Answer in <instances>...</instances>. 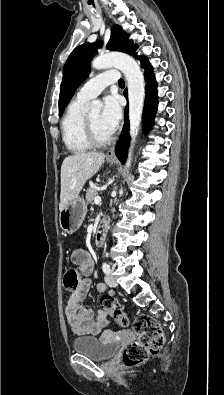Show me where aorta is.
I'll list each match as a JSON object with an SVG mask.
<instances>
[{
	"instance_id": "aorta-1",
	"label": "aorta",
	"mask_w": 224,
	"mask_h": 395,
	"mask_svg": "<svg viewBox=\"0 0 224 395\" xmlns=\"http://www.w3.org/2000/svg\"><path fill=\"white\" fill-rule=\"evenodd\" d=\"M92 68L101 70L115 67L124 74L128 87L129 100V122L131 144L128 152V158L125 167L128 169L132 162V153L136 141L137 133L140 128L144 99L145 83L143 73L138 63L129 55L124 53H108L100 55L93 59ZM87 109L91 113H98L102 109V103L92 101L88 104Z\"/></svg>"
}]
</instances>
